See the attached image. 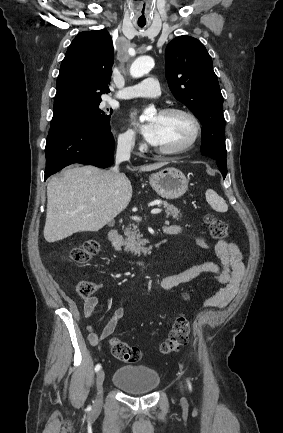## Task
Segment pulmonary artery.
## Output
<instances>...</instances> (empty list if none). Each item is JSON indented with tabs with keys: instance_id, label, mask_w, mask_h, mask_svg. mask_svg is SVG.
<instances>
[{
	"instance_id": "obj_1",
	"label": "pulmonary artery",
	"mask_w": 283,
	"mask_h": 433,
	"mask_svg": "<svg viewBox=\"0 0 283 433\" xmlns=\"http://www.w3.org/2000/svg\"><path fill=\"white\" fill-rule=\"evenodd\" d=\"M125 90H120V93L113 96L119 99H131L136 97H157L160 95L158 80L151 77L139 83L125 85Z\"/></svg>"
}]
</instances>
